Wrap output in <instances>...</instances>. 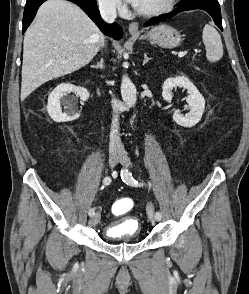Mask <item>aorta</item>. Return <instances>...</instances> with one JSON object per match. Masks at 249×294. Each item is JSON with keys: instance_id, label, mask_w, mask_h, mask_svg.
<instances>
[{"instance_id": "obj_1", "label": "aorta", "mask_w": 249, "mask_h": 294, "mask_svg": "<svg viewBox=\"0 0 249 294\" xmlns=\"http://www.w3.org/2000/svg\"><path fill=\"white\" fill-rule=\"evenodd\" d=\"M120 89L123 101L129 107H134L137 100V91L135 85L127 75H123Z\"/></svg>"}]
</instances>
